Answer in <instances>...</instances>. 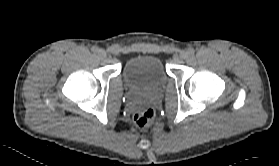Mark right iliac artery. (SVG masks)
<instances>
[{
    "label": "right iliac artery",
    "instance_id": "right-iliac-artery-1",
    "mask_svg": "<svg viewBox=\"0 0 279 166\" xmlns=\"http://www.w3.org/2000/svg\"><path fill=\"white\" fill-rule=\"evenodd\" d=\"M91 50H92V52L96 53V52H98L99 49H98V47L94 46V47H92Z\"/></svg>",
    "mask_w": 279,
    "mask_h": 166
}]
</instances>
